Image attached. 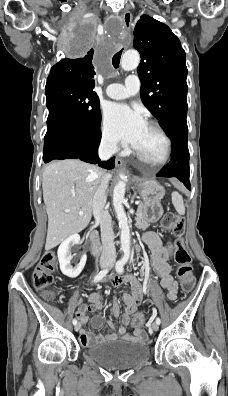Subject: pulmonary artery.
I'll return each mask as SVG.
<instances>
[{
    "label": "pulmonary artery",
    "mask_w": 228,
    "mask_h": 396,
    "mask_svg": "<svg viewBox=\"0 0 228 396\" xmlns=\"http://www.w3.org/2000/svg\"><path fill=\"white\" fill-rule=\"evenodd\" d=\"M140 81L136 75H129L124 84L112 83L106 89V94L111 99L121 100L138 93Z\"/></svg>",
    "instance_id": "1"
}]
</instances>
